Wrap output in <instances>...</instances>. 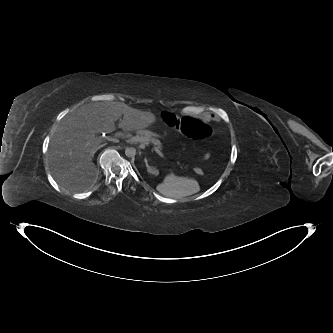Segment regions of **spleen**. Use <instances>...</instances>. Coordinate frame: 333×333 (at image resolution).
Masks as SVG:
<instances>
[{
	"label": "spleen",
	"mask_w": 333,
	"mask_h": 333,
	"mask_svg": "<svg viewBox=\"0 0 333 333\" xmlns=\"http://www.w3.org/2000/svg\"><path fill=\"white\" fill-rule=\"evenodd\" d=\"M156 189L166 197L180 199L198 193L200 186L195 179L179 177L171 173L164 177L163 182L159 183Z\"/></svg>",
	"instance_id": "1"
}]
</instances>
